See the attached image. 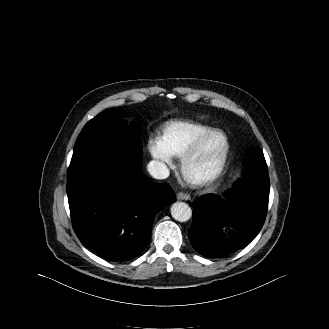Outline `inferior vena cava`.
Masks as SVG:
<instances>
[{
    "instance_id": "602c4592",
    "label": "inferior vena cava",
    "mask_w": 329,
    "mask_h": 329,
    "mask_svg": "<svg viewBox=\"0 0 329 329\" xmlns=\"http://www.w3.org/2000/svg\"><path fill=\"white\" fill-rule=\"evenodd\" d=\"M148 172L156 179H166L169 176V169L160 161L152 160L147 165Z\"/></svg>"
}]
</instances>
